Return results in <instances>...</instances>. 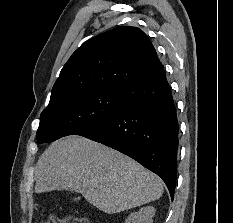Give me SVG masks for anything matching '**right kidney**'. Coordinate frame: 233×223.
Listing matches in <instances>:
<instances>
[{
	"mask_svg": "<svg viewBox=\"0 0 233 223\" xmlns=\"http://www.w3.org/2000/svg\"><path fill=\"white\" fill-rule=\"evenodd\" d=\"M153 215H155V207L146 205V207H141L140 211L130 213L124 223H153Z\"/></svg>",
	"mask_w": 233,
	"mask_h": 223,
	"instance_id": "obj_1",
	"label": "right kidney"
}]
</instances>
